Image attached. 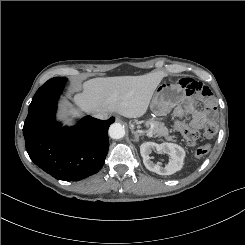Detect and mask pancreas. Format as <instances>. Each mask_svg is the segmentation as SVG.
I'll list each match as a JSON object with an SVG mask.
<instances>
[{
	"mask_svg": "<svg viewBox=\"0 0 245 245\" xmlns=\"http://www.w3.org/2000/svg\"><path fill=\"white\" fill-rule=\"evenodd\" d=\"M148 124L151 126L150 130L156 137H164L168 141L174 140L175 136H170L167 127L164 123L155 120H149Z\"/></svg>",
	"mask_w": 245,
	"mask_h": 245,
	"instance_id": "cf45deb5",
	"label": "pancreas"
}]
</instances>
